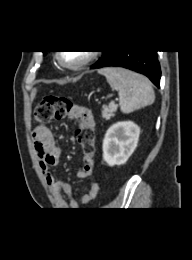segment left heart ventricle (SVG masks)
<instances>
[{"label":"left heart ventricle","instance_id":"left-heart-ventricle-1","mask_svg":"<svg viewBox=\"0 0 192 260\" xmlns=\"http://www.w3.org/2000/svg\"><path fill=\"white\" fill-rule=\"evenodd\" d=\"M86 55H87V52H85V51H66V52H63V58L69 64L78 63Z\"/></svg>","mask_w":192,"mask_h":260}]
</instances>
